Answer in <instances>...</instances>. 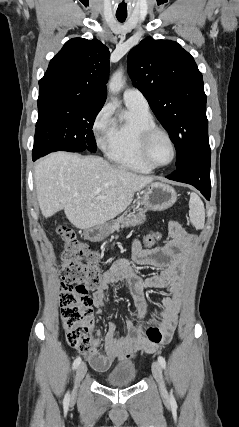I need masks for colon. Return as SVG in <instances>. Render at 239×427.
I'll list each match as a JSON object with an SVG mask.
<instances>
[{
  "mask_svg": "<svg viewBox=\"0 0 239 427\" xmlns=\"http://www.w3.org/2000/svg\"><path fill=\"white\" fill-rule=\"evenodd\" d=\"M57 232L64 243L62 262L58 269L62 327L68 343L87 353L93 346V310L89 292L101 284V258L97 252L79 241L71 229L60 226ZM159 238V233L150 232L143 241L147 247H152ZM145 333L153 345H158L163 339L156 326L147 327Z\"/></svg>",
  "mask_w": 239,
  "mask_h": 427,
  "instance_id": "obj_1",
  "label": "colon"
}]
</instances>
